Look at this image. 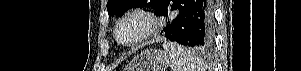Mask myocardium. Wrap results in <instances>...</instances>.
Segmentation results:
<instances>
[{"label":"myocardium","mask_w":301,"mask_h":71,"mask_svg":"<svg viewBox=\"0 0 301 71\" xmlns=\"http://www.w3.org/2000/svg\"><path fill=\"white\" fill-rule=\"evenodd\" d=\"M131 19H138L143 23V29L140 34L132 41L124 42L120 39L119 30L121 25ZM159 27L157 17L151 12L143 9H134L123 14L116 23L114 29V37L118 44L124 47H134L147 40L156 32Z\"/></svg>","instance_id":"myocardium-1"}]
</instances>
